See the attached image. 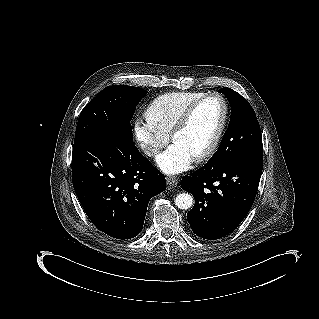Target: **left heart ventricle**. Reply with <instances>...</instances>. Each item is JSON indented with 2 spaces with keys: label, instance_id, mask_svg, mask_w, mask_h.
<instances>
[{
  "label": "left heart ventricle",
  "instance_id": "left-heart-ventricle-1",
  "mask_svg": "<svg viewBox=\"0 0 319 319\" xmlns=\"http://www.w3.org/2000/svg\"><path fill=\"white\" fill-rule=\"evenodd\" d=\"M221 106L215 99L199 105L176 136L177 142L193 154L204 149L211 141L220 121Z\"/></svg>",
  "mask_w": 319,
  "mask_h": 319
}]
</instances>
